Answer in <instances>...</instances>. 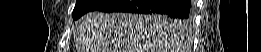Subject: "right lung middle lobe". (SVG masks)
<instances>
[{
    "mask_svg": "<svg viewBox=\"0 0 261 52\" xmlns=\"http://www.w3.org/2000/svg\"><path fill=\"white\" fill-rule=\"evenodd\" d=\"M104 2L105 0H77L72 14L73 19H78L83 14L96 9ZM162 20H166L167 22L172 23L176 26H187L190 22V19L173 18L169 16H164Z\"/></svg>",
    "mask_w": 261,
    "mask_h": 52,
    "instance_id": "dd1d6c3e",
    "label": "right lung middle lobe"
}]
</instances>
